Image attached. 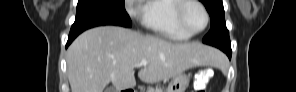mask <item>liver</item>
<instances>
[{
	"mask_svg": "<svg viewBox=\"0 0 296 92\" xmlns=\"http://www.w3.org/2000/svg\"><path fill=\"white\" fill-rule=\"evenodd\" d=\"M219 53L201 43H173L118 27L103 26L79 35L67 51L71 92H103L111 82L116 90L134 88V68L146 83L168 81L197 66H217Z\"/></svg>",
	"mask_w": 296,
	"mask_h": 92,
	"instance_id": "liver-1",
	"label": "liver"
}]
</instances>
